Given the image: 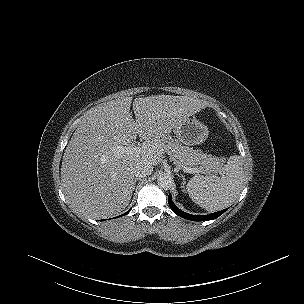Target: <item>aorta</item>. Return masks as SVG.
Segmentation results:
<instances>
[{
	"instance_id": "762f6f07",
	"label": "aorta",
	"mask_w": 304,
	"mask_h": 304,
	"mask_svg": "<svg viewBox=\"0 0 304 304\" xmlns=\"http://www.w3.org/2000/svg\"><path fill=\"white\" fill-rule=\"evenodd\" d=\"M157 184L160 188L168 190L172 185V179L167 174H160L157 179Z\"/></svg>"
}]
</instances>
